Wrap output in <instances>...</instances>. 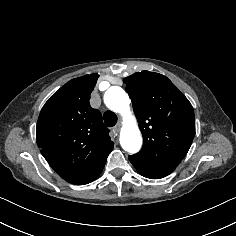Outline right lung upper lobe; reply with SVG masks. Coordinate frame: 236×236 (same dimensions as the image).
<instances>
[{"label": "right lung upper lobe", "instance_id": "obj_1", "mask_svg": "<svg viewBox=\"0 0 236 236\" xmlns=\"http://www.w3.org/2000/svg\"><path fill=\"white\" fill-rule=\"evenodd\" d=\"M99 75L67 82L43 106L36 140L50 166L65 180L99 171L114 143L102 115L90 106V94Z\"/></svg>", "mask_w": 236, "mask_h": 236}]
</instances>
